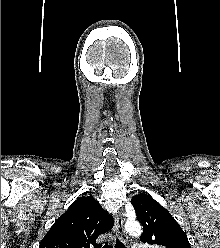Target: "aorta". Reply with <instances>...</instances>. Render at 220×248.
<instances>
[{"mask_svg": "<svg viewBox=\"0 0 220 248\" xmlns=\"http://www.w3.org/2000/svg\"><path fill=\"white\" fill-rule=\"evenodd\" d=\"M125 230L131 236H139L142 233L139 222L135 220H128L125 224Z\"/></svg>", "mask_w": 220, "mask_h": 248, "instance_id": "1", "label": "aorta"}]
</instances>
